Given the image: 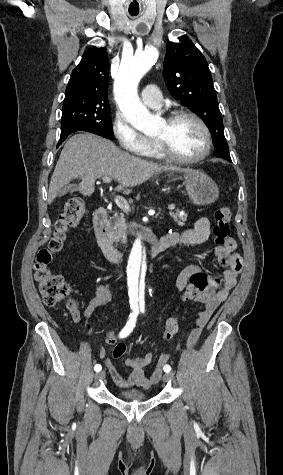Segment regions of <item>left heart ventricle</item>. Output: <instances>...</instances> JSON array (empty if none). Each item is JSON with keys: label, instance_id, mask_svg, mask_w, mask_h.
I'll list each match as a JSON object with an SVG mask.
<instances>
[{"label": "left heart ventricle", "instance_id": "obj_1", "mask_svg": "<svg viewBox=\"0 0 283 475\" xmlns=\"http://www.w3.org/2000/svg\"><path fill=\"white\" fill-rule=\"evenodd\" d=\"M154 138L165 141L168 151L180 158L198 154L205 141L203 129L189 117H182L172 124L165 120Z\"/></svg>", "mask_w": 283, "mask_h": 475}]
</instances>
